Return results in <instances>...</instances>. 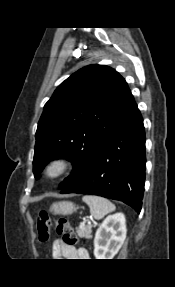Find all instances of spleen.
<instances>
[{
    "instance_id": "spleen-1",
    "label": "spleen",
    "mask_w": 175,
    "mask_h": 287,
    "mask_svg": "<svg viewBox=\"0 0 175 287\" xmlns=\"http://www.w3.org/2000/svg\"><path fill=\"white\" fill-rule=\"evenodd\" d=\"M82 200L89 206L91 215L98 220L116 209L112 202L100 196L85 195Z\"/></svg>"
}]
</instances>
